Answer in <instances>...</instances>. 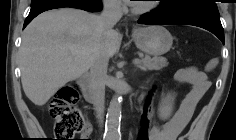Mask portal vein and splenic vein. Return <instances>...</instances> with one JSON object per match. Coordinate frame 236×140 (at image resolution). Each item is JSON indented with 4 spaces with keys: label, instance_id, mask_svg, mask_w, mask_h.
<instances>
[{
    "label": "portal vein and splenic vein",
    "instance_id": "18ae733b",
    "mask_svg": "<svg viewBox=\"0 0 236 140\" xmlns=\"http://www.w3.org/2000/svg\"><path fill=\"white\" fill-rule=\"evenodd\" d=\"M133 64L138 65L140 63V60L138 58L133 59Z\"/></svg>",
    "mask_w": 236,
    "mask_h": 140
}]
</instances>
